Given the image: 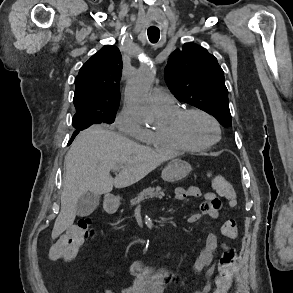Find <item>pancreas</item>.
<instances>
[{
	"mask_svg": "<svg viewBox=\"0 0 293 293\" xmlns=\"http://www.w3.org/2000/svg\"><path fill=\"white\" fill-rule=\"evenodd\" d=\"M165 196L164 192L161 191V187H148L140 192L137 197L130 201L131 206H134L144 200L159 198L162 199Z\"/></svg>",
	"mask_w": 293,
	"mask_h": 293,
	"instance_id": "cf45deb5",
	"label": "pancreas"
}]
</instances>
